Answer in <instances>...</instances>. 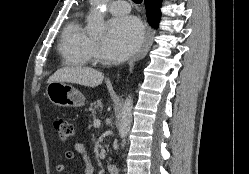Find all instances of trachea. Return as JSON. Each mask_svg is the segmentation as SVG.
Masks as SVG:
<instances>
[{
  "label": "trachea",
  "instance_id": "3493384b",
  "mask_svg": "<svg viewBox=\"0 0 249 174\" xmlns=\"http://www.w3.org/2000/svg\"><path fill=\"white\" fill-rule=\"evenodd\" d=\"M134 3L136 4H141L142 3V0H132Z\"/></svg>",
  "mask_w": 249,
  "mask_h": 174
}]
</instances>
